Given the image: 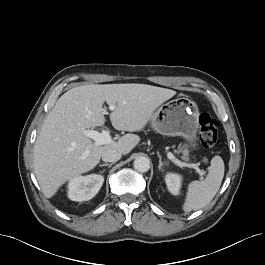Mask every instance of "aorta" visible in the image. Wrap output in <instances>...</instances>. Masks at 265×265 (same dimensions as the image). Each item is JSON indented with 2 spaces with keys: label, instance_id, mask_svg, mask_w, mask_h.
I'll return each mask as SVG.
<instances>
[{
  "label": "aorta",
  "instance_id": "1",
  "mask_svg": "<svg viewBox=\"0 0 265 265\" xmlns=\"http://www.w3.org/2000/svg\"><path fill=\"white\" fill-rule=\"evenodd\" d=\"M133 166L138 172H147L150 168V160L148 157L139 156L134 160Z\"/></svg>",
  "mask_w": 265,
  "mask_h": 265
}]
</instances>
